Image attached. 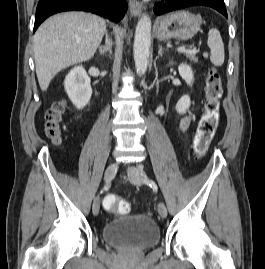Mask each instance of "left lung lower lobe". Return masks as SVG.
I'll list each match as a JSON object with an SVG mask.
<instances>
[{"mask_svg":"<svg viewBox=\"0 0 265 269\" xmlns=\"http://www.w3.org/2000/svg\"><path fill=\"white\" fill-rule=\"evenodd\" d=\"M191 6H209L216 9L227 17V11L223 0H175L169 1L161 5L154 6L156 15H162L174 10L191 7Z\"/></svg>","mask_w":265,"mask_h":269,"instance_id":"obj_1","label":"left lung lower lobe"}]
</instances>
